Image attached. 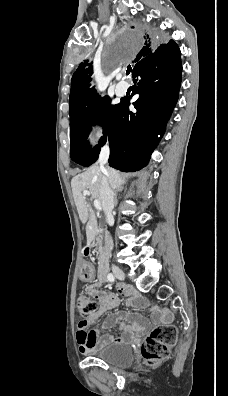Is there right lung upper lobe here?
Listing matches in <instances>:
<instances>
[{
	"mask_svg": "<svg viewBox=\"0 0 228 396\" xmlns=\"http://www.w3.org/2000/svg\"><path fill=\"white\" fill-rule=\"evenodd\" d=\"M144 45L135 59L137 64L132 70V74L135 72L137 67L140 65V61L146 57H149L155 50L153 44V38L149 35L144 36ZM92 62L84 60L76 72L72 76L71 80V91H70V117H73L86 108H88L95 100L100 98L94 88H89L91 76L93 74Z\"/></svg>",
	"mask_w": 228,
	"mask_h": 396,
	"instance_id": "obj_1",
	"label": "right lung upper lobe"
}]
</instances>
